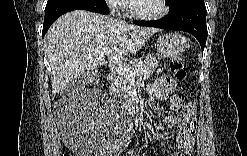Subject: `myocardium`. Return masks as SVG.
Wrapping results in <instances>:
<instances>
[{"label":"myocardium","instance_id":"1","mask_svg":"<svg viewBox=\"0 0 247 156\" xmlns=\"http://www.w3.org/2000/svg\"><path fill=\"white\" fill-rule=\"evenodd\" d=\"M160 4V9L153 14H140L136 11L134 6V1L129 3V14L140 21H153L164 17L168 13L167 2L165 0H158Z\"/></svg>","mask_w":247,"mask_h":156}]
</instances>
